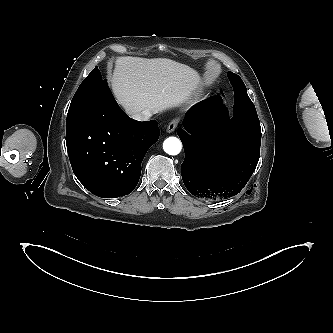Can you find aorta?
Listing matches in <instances>:
<instances>
[{
  "label": "aorta",
  "instance_id": "obj_1",
  "mask_svg": "<svg viewBox=\"0 0 333 333\" xmlns=\"http://www.w3.org/2000/svg\"><path fill=\"white\" fill-rule=\"evenodd\" d=\"M163 149L169 155H177L182 149L181 141L176 137H169L164 141Z\"/></svg>",
  "mask_w": 333,
  "mask_h": 333
}]
</instances>
